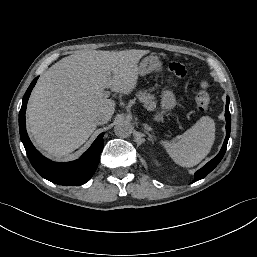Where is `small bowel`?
<instances>
[{
	"label": "small bowel",
	"instance_id": "obj_1",
	"mask_svg": "<svg viewBox=\"0 0 257 257\" xmlns=\"http://www.w3.org/2000/svg\"><path fill=\"white\" fill-rule=\"evenodd\" d=\"M153 75L161 90L171 92L185 86L190 80L191 72L183 62L164 59L155 65Z\"/></svg>",
	"mask_w": 257,
	"mask_h": 257
}]
</instances>
